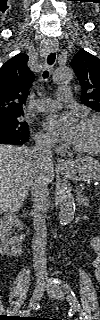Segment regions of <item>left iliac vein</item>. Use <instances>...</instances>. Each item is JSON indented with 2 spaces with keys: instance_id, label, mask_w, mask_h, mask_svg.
<instances>
[{
  "instance_id": "obj_1",
  "label": "left iliac vein",
  "mask_w": 100,
  "mask_h": 320,
  "mask_svg": "<svg viewBox=\"0 0 100 320\" xmlns=\"http://www.w3.org/2000/svg\"><path fill=\"white\" fill-rule=\"evenodd\" d=\"M47 293L50 297L55 298L57 300L63 299V293L57 285H50L47 289Z\"/></svg>"
}]
</instances>
